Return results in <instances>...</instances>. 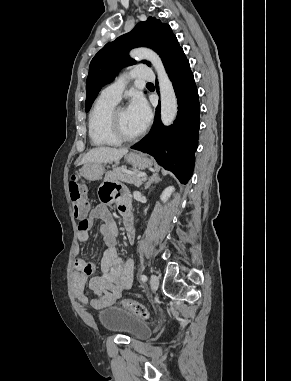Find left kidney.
Here are the masks:
<instances>
[{"instance_id":"left-kidney-1","label":"left kidney","mask_w":291,"mask_h":381,"mask_svg":"<svg viewBox=\"0 0 291 381\" xmlns=\"http://www.w3.org/2000/svg\"><path fill=\"white\" fill-rule=\"evenodd\" d=\"M173 191H174V187H173V186H169V187H167V188L163 191V193H162V195H161V200L164 201V202H166L167 199L171 196V194H172Z\"/></svg>"}]
</instances>
